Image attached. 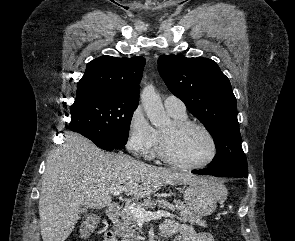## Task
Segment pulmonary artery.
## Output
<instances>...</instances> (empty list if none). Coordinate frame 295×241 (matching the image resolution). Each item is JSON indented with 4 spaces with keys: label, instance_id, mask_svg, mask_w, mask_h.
Returning <instances> with one entry per match:
<instances>
[{
    "label": "pulmonary artery",
    "instance_id": "pulmonary-artery-1",
    "mask_svg": "<svg viewBox=\"0 0 295 241\" xmlns=\"http://www.w3.org/2000/svg\"><path fill=\"white\" fill-rule=\"evenodd\" d=\"M165 108L169 112L177 113V114H185L186 107L183 101L174 95H169L164 100Z\"/></svg>",
    "mask_w": 295,
    "mask_h": 241
}]
</instances>
